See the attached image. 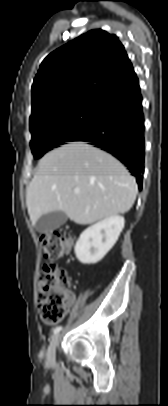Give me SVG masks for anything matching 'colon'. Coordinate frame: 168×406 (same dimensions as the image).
I'll use <instances>...</instances> for the list:
<instances>
[{
    "instance_id": "5ec220e1",
    "label": "colon",
    "mask_w": 168,
    "mask_h": 406,
    "mask_svg": "<svg viewBox=\"0 0 168 406\" xmlns=\"http://www.w3.org/2000/svg\"><path fill=\"white\" fill-rule=\"evenodd\" d=\"M40 243L45 260L65 257L72 249V240L61 231L43 233ZM67 272L53 262L46 263L38 273L36 298L38 312L43 322L59 323L65 315V285Z\"/></svg>"
}]
</instances>
